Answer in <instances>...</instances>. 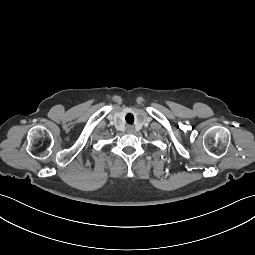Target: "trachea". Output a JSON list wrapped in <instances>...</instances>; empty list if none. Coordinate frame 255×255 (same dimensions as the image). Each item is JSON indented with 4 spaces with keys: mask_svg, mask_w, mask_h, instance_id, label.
<instances>
[{
    "mask_svg": "<svg viewBox=\"0 0 255 255\" xmlns=\"http://www.w3.org/2000/svg\"><path fill=\"white\" fill-rule=\"evenodd\" d=\"M125 119H126V122L129 124H133L134 122V116L130 113L126 115Z\"/></svg>",
    "mask_w": 255,
    "mask_h": 255,
    "instance_id": "trachea-1",
    "label": "trachea"
}]
</instances>
